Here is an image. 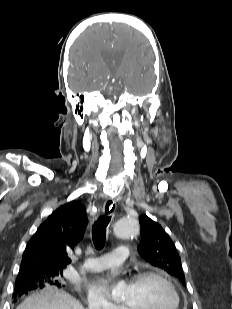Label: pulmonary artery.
<instances>
[{
    "label": "pulmonary artery",
    "instance_id": "pulmonary-artery-1",
    "mask_svg": "<svg viewBox=\"0 0 232 309\" xmlns=\"http://www.w3.org/2000/svg\"><path fill=\"white\" fill-rule=\"evenodd\" d=\"M128 257L129 250L127 247L119 246L111 253L104 254L100 257L87 258L83 262V268L91 272L103 271L127 260Z\"/></svg>",
    "mask_w": 232,
    "mask_h": 309
}]
</instances>
